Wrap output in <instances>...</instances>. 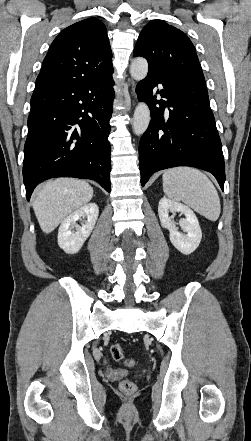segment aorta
I'll use <instances>...</instances> for the list:
<instances>
[{
  "label": "aorta",
  "instance_id": "aorta-1",
  "mask_svg": "<svg viewBox=\"0 0 251 441\" xmlns=\"http://www.w3.org/2000/svg\"><path fill=\"white\" fill-rule=\"evenodd\" d=\"M148 73L147 60L138 57L134 59L130 66V74L136 81L143 80ZM150 110L144 102L138 103L134 111L133 131L136 135H142L148 128L150 123Z\"/></svg>",
  "mask_w": 251,
  "mask_h": 441
}]
</instances>
